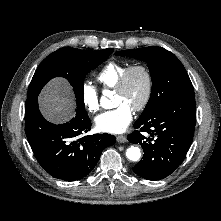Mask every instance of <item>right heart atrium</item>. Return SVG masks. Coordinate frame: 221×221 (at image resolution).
<instances>
[{
  "label": "right heart atrium",
  "mask_w": 221,
  "mask_h": 221,
  "mask_svg": "<svg viewBox=\"0 0 221 221\" xmlns=\"http://www.w3.org/2000/svg\"><path fill=\"white\" fill-rule=\"evenodd\" d=\"M81 99L83 106L90 113H95L100 107L99 93L97 88L88 81L81 85Z\"/></svg>",
  "instance_id": "obj_1"
}]
</instances>
